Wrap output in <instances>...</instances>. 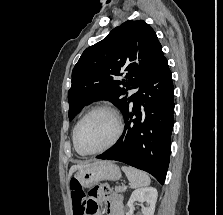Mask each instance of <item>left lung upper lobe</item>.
Masks as SVG:
<instances>
[{
    "instance_id": "obj_1",
    "label": "left lung upper lobe",
    "mask_w": 223,
    "mask_h": 215,
    "mask_svg": "<svg viewBox=\"0 0 223 215\" xmlns=\"http://www.w3.org/2000/svg\"><path fill=\"white\" fill-rule=\"evenodd\" d=\"M164 59L156 33L143 20L126 21L114 28L105 39L83 52L72 71L70 120L97 100L111 101L124 115L135 94L129 98L123 95L139 87ZM122 70L127 72L126 79L115 80Z\"/></svg>"
}]
</instances>
